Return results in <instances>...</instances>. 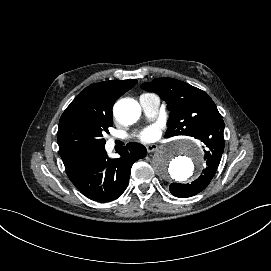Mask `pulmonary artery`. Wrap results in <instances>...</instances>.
<instances>
[{"mask_svg": "<svg viewBox=\"0 0 271 271\" xmlns=\"http://www.w3.org/2000/svg\"><path fill=\"white\" fill-rule=\"evenodd\" d=\"M140 105L147 117L154 118L159 111L160 99L154 94H142L139 98ZM114 146V138L106 140L105 150L110 151Z\"/></svg>", "mask_w": 271, "mask_h": 271, "instance_id": "e3ab8cb5", "label": "pulmonary artery"}]
</instances>
